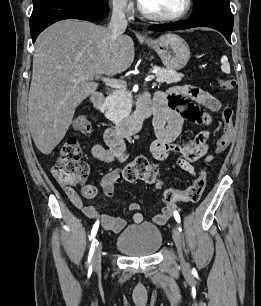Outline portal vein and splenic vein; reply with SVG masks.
<instances>
[{"label": "portal vein and splenic vein", "mask_w": 261, "mask_h": 306, "mask_svg": "<svg viewBox=\"0 0 261 306\" xmlns=\"http://www.w3.org/2000/svg\"><path fill=\"white\" fill-rule=\"evenodd\" d=\"M93 78H94L93 76H79V77L74 78V82H81V81L89 80ZM96 78H99V77L97 76ZM154 78H155V75H149L145 78V82L152 81ZM101 79L106 85L112 88H122L126 85L124 81H120V80H116V79H112L108 77H102Z\"/></svg>", "instance_id": "1"}]
</instances>
